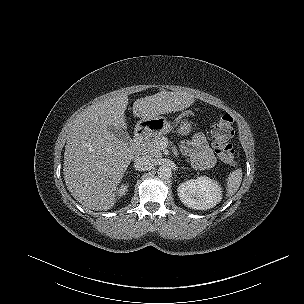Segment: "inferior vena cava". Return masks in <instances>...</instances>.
<instances>
[{
  "label": "inferior vena cava",
  "instance_id": "inferior-vena-cava-1",
  "mask_svg": "<svg viewBox=\"0 0 304 304\" xmlns=\"http://www.w3.org/2000/svg\"><path fill=\"white\" fill-rule=\"evenodd\" d=\"M154 166V160L147 156L134 159V168L137 171H147Z\"/></svg>",
  "mask_w": 304,
  "mask_h": 304
}]
</instances>
